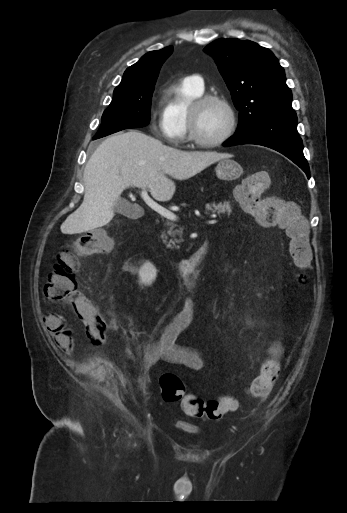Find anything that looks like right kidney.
I'll return each mask as SVG.
<instances>
[{
    "instance_id": "1",
    "label": "right kidney",
    "mask_w": 347,
    "mask_h": 513,
    "mask_svg": "<svg viewBox=\"0 0 347 513\" xmlns=\"http://www.w3.org/2000/svg\"><path fill=\"white\" fill-rule=\"evenodd\" d=\"M140 282L150 285L156 278L157 270L150 262H146L139 270Z\"/></svg>"
}]
</instances>
